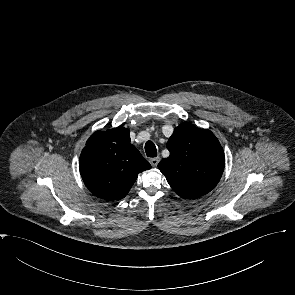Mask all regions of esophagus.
Returning a JSON list of instances; mask_svg holds the SVG:
<instances>
[{
    "mask_svg": "<svg viewBox=\"0 0 295 295\" xmlns=\"http://www.w3.org/2000/svg\"><path fill=\"white\" fill-rule=\"evenodd\" d=\"M159 161H160V157L159 156L154 157V158H150V160H149V162L151 163V165L153 167H156L158 165Z\"/></svg>",
    "mask_w": 295,
    "mask_h": 295,
    "instance_id": "34e87169",
    "label": "esophagus"
}]
</instances>
